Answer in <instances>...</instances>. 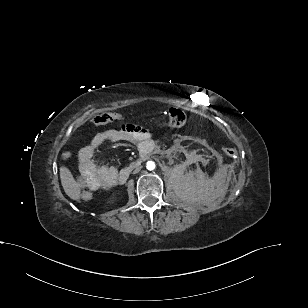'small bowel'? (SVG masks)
Instances as JSON below:
<instances>
[{
    "instance_id": "obj_1",
    "label": "small bowel",
    "mask_w": 308,
    "mask_h": 308,
    "mask_svg": "<svg viewBox=\"0 0 308 308\" xmlns=\"http://www.w3.org/2000/svg\"><path fill=\"white\" fill-rule=\"evenodd\" d=\"M150 137L151 135L147 129L135 124H127L119 129H111L95 135L90 145L85 147L79 154L80 175L77 181L78 188H88L94 191L107 189L114 185L117 170L112 166L99 164L94 159L95 152L103 144L122 141L137 144L147 142Z\"/></svg>"
}]
</instances>
